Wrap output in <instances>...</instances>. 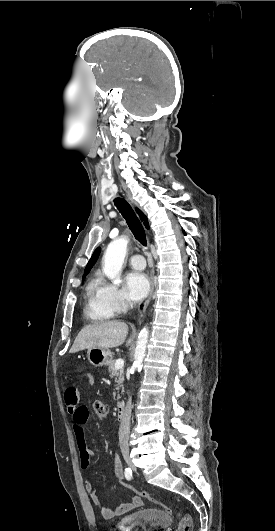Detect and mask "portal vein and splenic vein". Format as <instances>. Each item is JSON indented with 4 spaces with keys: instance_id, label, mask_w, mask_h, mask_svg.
Here are the masks:
<instances>
[{
    "instance_id": "18ae733b",
    "label": "portal vein and splenic vein",
    "mask_w": 275,
    "mask_h": 531,
    "mask_svg": "<svg viewBox=\"0 0 275 531\" xmlns=\"http://www.w3.org/2000/svg\"><path fill=\"white\" fill-rule=\"evenodd\" d=\"M123 365H124L123 359H117L115 363V369H122Z\"/></svg>"
}]
</instances>
